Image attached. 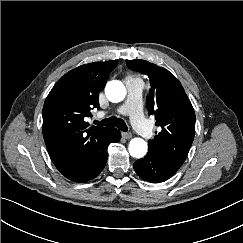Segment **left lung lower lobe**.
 <instances>
[{
	"mask_svg": "<svg viewBox=\"0 0 243 243\" xmlns=\"http://www.w3.org/2000/svg\"><path fill=\"white\" fill-rule=\"evenodd\" d=\"M133 166L141 179L151 183L168 180L181 167L152 151H149L143 159L137 160Z\"/></svg>",
	"mask_w": 243,
	"mask_h": 243,
	"instance_id": "obj_1",
	"label": "left lung lower lobe"
}]
</instances>
